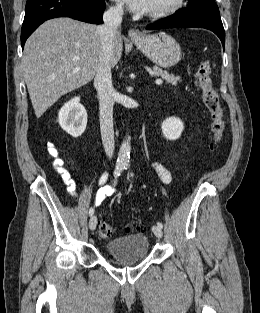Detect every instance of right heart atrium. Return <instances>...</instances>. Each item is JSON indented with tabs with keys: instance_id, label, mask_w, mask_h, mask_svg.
Listing matches in <instances>:
<instances>
[{
	"instance_id": "1",
	"label": "right heart atrium",
	"mask_w": 260,
	"mask_h": 313,
	"mask_svg": "<svg viewBox=\"0 0 260 313\" xmlns=\"http://www.w3.org/2000/svg\"><path fill=\"white\" fill-rule=\"evenodd\" d=\"M111 9H112V11H113V12H115V13H120V12H121V10H122V9H121V6H120V5H118V4H117V5L112 6V8H111Z\"/></svg>"
}]
</instances>
